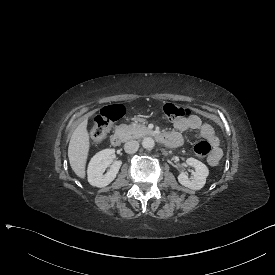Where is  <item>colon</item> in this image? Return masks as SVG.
Listing matches in <instances>:
<instances>
[{"instance_id": "1", "label": "colon", "mask_w": 275, "mask_h": 275, "mask_svg": "<svg viewBox=\"0 0 275 275\" xmlns=\"http://www.w3.org/2000/svg\"><path fill=\"white\" fill-rule=\"evenodd\" d=\"M165 119L172 122L178 119L187 118L190 110L182 105H176L171 102L165 103L163 106ZM124 115V107L122 104H109L105 106L93 120L91 129V141L94 144L101 143L107 135L110 125L119 121ZM211 151V145L206 140L198 141L194 146V152L199 157L207 156Z\"/></svg>"}]
</instances>
